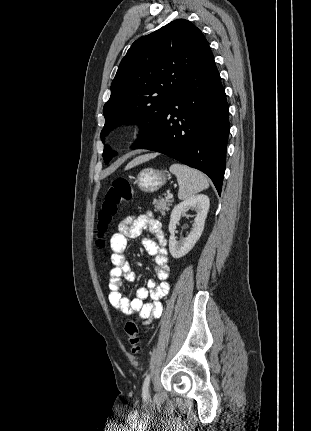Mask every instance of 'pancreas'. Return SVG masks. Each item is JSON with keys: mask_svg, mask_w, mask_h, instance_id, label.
<instances>
[{"mask_svg": "<svg viewBox=\"0 0 311 431\" xmlns=\"http://www.w3.org/2000/svg\"><path fill=\"white\" fill-rule=\"evenodd\" d=\"M174 200H164L162 196H159L158 200H153L155 206V212H159L162 216H165V212H169L170 206H172Z\"/></svg>", "mask_w": 311, "mask_h": 431, "instance_id": "cf45deb5", "label": "pancreas"}]
</instances>
